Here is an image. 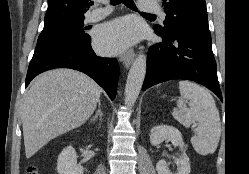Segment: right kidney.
I'll list each match as a JSON object with an SVG mask.
<instances>
[{"label": "right kidney", "mask_w": 249, "mask_h": 174, "mask_svg": "<svg viewBox=\"0 0 249 174\" xmlns=\"http://www.w3.org/2000/svg\"><path fill=\"white\" fill-rule=\"evenodd\" d=\"M59 174H83L84 168L77 163V153L72 146L62 150L57 160Z\"/></svg>", "instance_id": "right-kidney-1"}]
</instances>
